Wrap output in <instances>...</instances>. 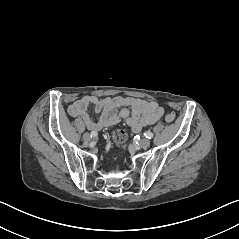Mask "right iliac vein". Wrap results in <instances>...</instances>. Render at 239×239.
<instances>
[{
  "label": "right iliac vein",
  "mask_w": 239,
  "mask_h": 239,
  "mask_svg": "<svg viewBox=\"0 0 239 239\" xmlns=\"http://www.w3.org/2000/svg\"><path fill=\"white\" fill-rule=\"evenodd\" d=\"M83 140H84L85 142H90V140H91L90 134H89V133H84V134H83Z\"/></svg>",
  "instance_id": "right-iliac-vein-1"
}]
</instances>
